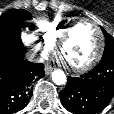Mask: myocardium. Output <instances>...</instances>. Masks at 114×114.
I'll return each mask as SVG.
<instances>
[{"label": "myocardium", "instance_id": "myocardium-1", "mask_svg": "<svg viewBox=\"0 0 114 114\" xmlns=\"http://www.w3.org/2000/svg\"><path fill=\"white\" fill-rule=\"evenodd\" d=\"M84 22H89L95 27L98 33L99 44H98V48L94 56L88 62L84 64H80V65H74L68 62L63 57V49L65 45L67 44V42L70 40L75 28L79 24L84 23ZM104 48H105V38H104L102 28L99 26V24L90 18H80L72 22L60 36L55 46V56L58 62L62 64L64 67H66L67 69L74 71V72H86L90 70L91 68H93L100 61L103 55Z\"/></svg>", "mask_w": 114, "mask_h": 114}]
</instances>
